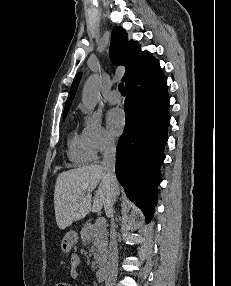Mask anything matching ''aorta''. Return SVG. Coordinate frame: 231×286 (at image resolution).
Here are the masks:
<instances>
[{
	"label": "aorta",
	"mask_w": 231,
	"mask_h": 286,
	"mask_svg": "<svg viewBox=\"0 0 231 286\" xmlns=\"http://www.w3.org/2000/svg\"><path fill=\"white\" fill-rule=\"evenodd\" d=\"M101 76L94 74L85 82L82 92V102L86 109L94 110L96 107L101 88Z\"/></svg>",
	"instance_id": "762f6f07"
}]
</instances>
